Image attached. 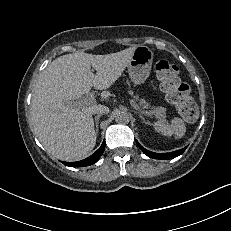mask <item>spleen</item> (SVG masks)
Here are the masks:
<instances>
[{
  "mask_svg": "<svg viewBox=\"0 0 231 231\" xmlns=\"http://www.w3.org/2000/svg\"><path fill=\"white\" fill-rule=\"evenodd\" d=\"M156 132L165 136L175 135L176 138H181L186 132L185 123L181 118H174L171 120V124H166L163 121H157L153 124Z\"/></svg>",
  "mask_w": 231,
  "mask_h": 231,
  "instance_id": "spleen-1",
  "label": "spleen"
}]
</instances>
